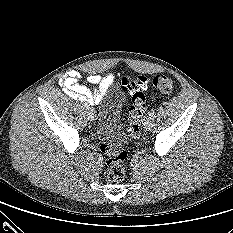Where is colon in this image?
<instances>
[{
  "label": "colon",
  "mask_w": 233,
  "mask_h": 233,
  "mask_svg": "<svg viewBox=\"0 0 233 233\" xmlns=\"http://www.w3.org/2000/svg\"><path fill=\"white\" fill-rule=\"evenodd\" d=\"M152 84L163 94H171L174 89L172 79L165 75H156L152 79ZM142 89L139 81L130 85L132 104L128 115V132L131 135L138 134L146 109V97ZM100 149L106 156L107 178L111 182L121 181L125 175L124 162L127 159V152L121 145L115 143H103Z\"/></svg>",
  "instance_id": "obj_1"
}]
</instances>
